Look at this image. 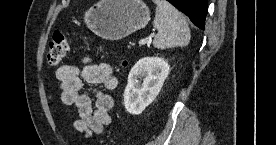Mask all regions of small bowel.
<instances>
[{"instance_id":"small-bowel-1","label":"small bowel","mask_w":276,"mask_h":145,"mask_svg":"<svg viewBox=\"0 0 276 145\" xmlns=\"http://www.w3.org/2000/svg\"><path fill=\"white\" fill-rule=\"evenodd\" d=\"M55 76L60 82L62 103L77 109L79 117L74 122V129L87 136L102 133L111 123L113 107V99L107 92L115 90L118 85L112 67L105 62L91 63L85 59L82 67L73 64L60 66ZM84 82L100 84L103 90H95L92 98L90 93L83 91Z\"/></svg>"}]
</instances>
